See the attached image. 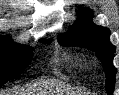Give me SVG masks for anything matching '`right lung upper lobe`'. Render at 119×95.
Masks as SVG:
<instances>
[{
    "label": "right lung upper lobe",
    "instance_id": "obj_1",
    "mask_svg": "<svg viewBox=\"0 0 119 95\" xmlns=\"http://www.w3.org/2000/svg\"><path fill=\"white\" fill-rule=\"evenodd\" d=\"M0 37H3V38H5L6 36H0ZM6 38H8V37H6Z\"/></svg>",
    "mask_w": 119,
    "mask_h": 95
}]
</instances>
